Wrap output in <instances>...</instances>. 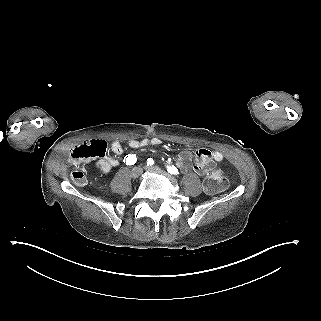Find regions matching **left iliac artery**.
I'll use <instances>...</instances> for the list:
<instances>
[{
    "instance_id": "44dca946",
    "label": "left iliac artery",
    "mask_w": 321,
    "mask_h": 321,
    "mask_svg": "<svg viewBox=\"0 0 321 321\" xmlns=\"http://www.w3.org/2000/svg\"><path fill=\"white\" fill-rule=\"evenodd\" d=\"M154 160L152 159V158H149L148 160H147V165L148 166H152V165H154ZM167 171L169 172V173H171V174H175V175H177V174H179V172H178V170H177V168L175 167V166H167Z\"/></svg>"
}]
</instances>
